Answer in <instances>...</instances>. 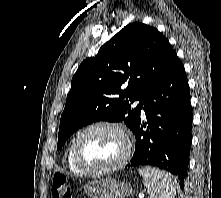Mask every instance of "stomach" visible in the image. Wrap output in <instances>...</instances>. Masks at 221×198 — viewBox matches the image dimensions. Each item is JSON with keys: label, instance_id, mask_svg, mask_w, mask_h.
I'll return each instance as SVG.
<instances>
[{"label": "stomach", "instance_id": "obj_1", "mask_svg": "<svg viewBox=\"0 0 221 198\" xmlns=\"http://www.w3.org/2000/svg\"><path fill=\"white\" fill-rule=\"evenodd\" d=\"M84 191L90 198H127L133 188L124 181L106 178L87 182Z\"/></svg>", "mask_w": 221, "mask_h": 198}]
</instances>
